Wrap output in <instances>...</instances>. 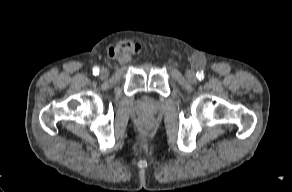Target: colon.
I'll use <instances>...</instances> for the list:
<instances>
[{
    "mask_svg": "<svg viewBox=\"0 0 292 192\" xmlns=\"http://www.w3.org/2000/svg\"><path fill=\"white\" fill-rule=\"evenodd\" d=\"M122 49H127L128 51H131V52H137L139 50L138 47L132 42L126 43L122 47Z\"/></svg>",
    "mask_w": 292,
    "mask_h": 192,
    "instance_id": "1",
    "label": "colon"
}]
</instances>
